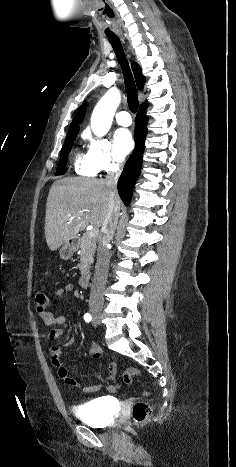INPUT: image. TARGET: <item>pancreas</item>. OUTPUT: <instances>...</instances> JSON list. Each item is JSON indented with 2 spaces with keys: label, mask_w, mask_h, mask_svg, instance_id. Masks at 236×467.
I'll return each mask as SVG.
<instances>
[{
  "label": "pancreas",
  "mask_w": 236,
  "mask_h": 467,
  "mask_svg": "<svg viewBox=\"0 0 236 467\" xmlns=\"http://www.w3.org/2000/svg\"><path fill=\"white\" fill-rule=\"evenodd\" d=\"M96 238L90 237L85 234L78 240L80 248V264L79 269L82 275L89 274V267L94 261V254L96 249Z\"/></svg>",
  "instance_id": "obj_1"
}]
</instances>
